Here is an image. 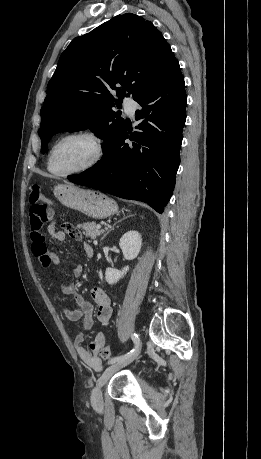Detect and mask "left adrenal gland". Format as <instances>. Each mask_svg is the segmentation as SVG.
Segmentation results:
<instances>
[{
  "instance_id": "a2214340",
  "label": "left adrenal gland",
  "mask_w": 261,
  "mask_h": 459,
  "mask_svg": "<svg viewBox=\"0 0 261 459\" xmlns=\"http://www.w3.org/2000/svg\"><path fill=\"white\" fill-rule=\"evenodd\" d=\"M133 215H130V216H127V217H123L122 219L118 220L113 226L112 228L102 237V240L109 234V232H111L112 230H114V226L120 222H122L123 220L127 219L128 217H131Z\"/></svg>"
}]
</instances>
